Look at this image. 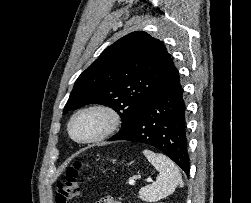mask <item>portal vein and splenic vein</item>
I'll return each instance as SVG.
<instances>
[{"instance_id": "18ae733b", "label": "portal vein and splenic vein", "mask_w": 251, "mask_h": 203, "mask_svg": "<svg viewBox=\"0 0 251 203\" xmlns=\"http://www.w3.org/2000/svg\"><path fill=\"white\" fill-rule=\"evenodd\" d=\"M129 184L130 185H135V181L134 180H129Z\"/></svg>"}]
</instances>
